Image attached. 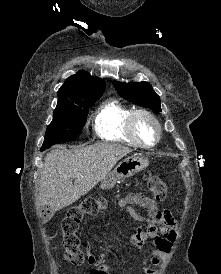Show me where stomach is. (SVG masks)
<instances>
[{"instance_id":"0dacf381","label":"stomach","mask_w":221,"mask_h":274,"mask_svg":"<svg viewBox=\"0 0 221 274\" xmlns=\"http://www.w3.org/2000/svg\"><path fill=\"white\" fill-rule=\"evenodd\" d=\"M149 165L146 157L132 155L120 161L112 172H110L101 182L102 189H111L116 183L126 178L132 177L136 173L144 170Z\"/></svg>"}]
</instances>
